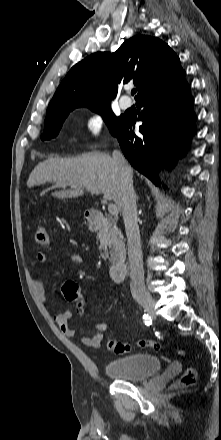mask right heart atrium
Listing matches in <instances>:
<instances>
[{"label": "right heart atrium", "instance_id": "1", "mask_svg": "<svg viewBox=\"0 0 221 440\" xmlns=\"http://www.w3.org/2000/svg\"><path fill=\"white\" fill-rule=\"evenodd\" d=\"M106 127V121L103 114L99 111L88 113L82 123V128L87 140L99 138Z\"/></svg>", "mask_w": 221, "mask_h": 440}]
</instances>
